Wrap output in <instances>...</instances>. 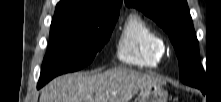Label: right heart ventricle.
<instances>
[{
	"mask_svg": "<svg viewBox=\"0 0 221 102\" xmlns=\"http://www.w3.org/2000/svg\"><path fill=\"white\" fill-rule=\"evenodd\" d=\"M165 52L162 36L142 16L131 13L125 19L117 40L116 54L120 61L142 68H156Z\"/></svg>",
	"mask_w": 221,
	"mask_h": 102,
	"instance_id": "e07e8e85",
	"label": "right heart ventricle"
}]
</instances>
